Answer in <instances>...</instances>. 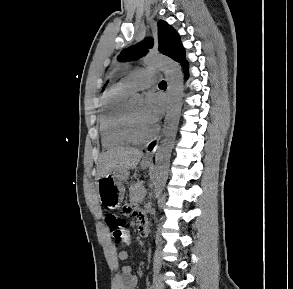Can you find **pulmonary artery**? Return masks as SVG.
Returning a JSON list of instances; mask_svg holds the SVG:
<instances>
[{"label":"pulmonary artery","mask_w":293,"mask_h":289,"mask_svg":"<svg viewBox=\"0 0 293 289\" xmlns=\"http://www.w3.org/2000/svg\"><path fill=\"white\" fill-rule=\"evenodd\" d=\"M160 80L159 74L152 69H139L126 77H124L120 84L130 92L144 89Z\"/></svg>","instance_id":"pulmonary-artery-1"}]
</instances>
